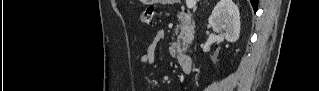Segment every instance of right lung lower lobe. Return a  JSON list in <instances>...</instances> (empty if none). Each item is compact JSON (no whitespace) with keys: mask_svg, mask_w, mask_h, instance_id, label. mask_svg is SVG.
<instances>
[{"mask_svg":"<svg viewBox=\"0 0 319 91\" xmlns=\"http://www.w3.org/2000/svg\"><path fill=\"white\" fill-rule=\"evenodd\" d=\"M252 7L254 9V12L257 10L258 0H250Z\"/></svg>","mask_w":319,"mask_h":91,"instance_id":"right-lung-lower-lobe-1","label":"right lung lower lobe"}]
</instances>
